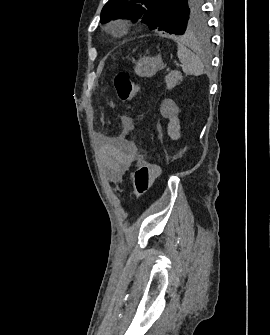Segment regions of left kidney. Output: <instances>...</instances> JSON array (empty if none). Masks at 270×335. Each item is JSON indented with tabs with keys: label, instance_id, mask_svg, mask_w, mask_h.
I'll return each instance as SVG.
<instances>
[{
	"label": "left kidney",
	"instance_id": "obj_1",
	"mask_svg": "<svg viewBox=\"0 0 270 335\" xmlns=\"http://www.w3.org/2000/svg\"><path fill=\"white\" fill-rule=\"evenodd\" d=\"M179 110H176L175 116L170 118V122L168 124V136H170L171 140H179L180 138V120L177 118Z\"/></svg>",
	"mask_w": 270,
	"mask_h": 335
}]
</instances>
